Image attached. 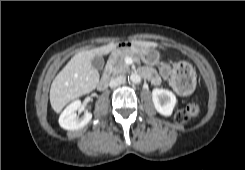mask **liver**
<instances>
[{
	"label": "liver",
	"instance_id": "obj_1",
	"mask_svg": "<svg viewBox=\"0 0 245 170\" xmlns=\"http://www.w3.org/2000/svg\"><path fill=\"white\" fill-rule=\"evenodd\" d=\"M143 48H156L159 45L150 41H131ZM161 47V46H160ZM117 48L114 43L84 50L75 54L57 74L50 87V104L56 113L72 100L93 91L99 83V72L91 61L95 56H103Z\"/></svg>",
	"mask_w": 245,
	"mask_h": 170
}]
</instances>
